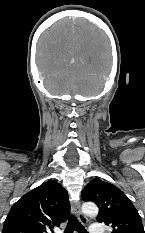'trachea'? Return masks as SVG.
Here are the masks:
<instances>
[{"label": "trachea", "mask_w": 145, "mask_h": 233, "mask_svg": "<svg viewBox=\"0 0 145 233\" xmlns=\"http://www.w3.org/2000/svg\"><path fill=\"white\" fill-rule=\"evenodd\" d=\"M77 231L78 233H87L84 226L75 218L73 215L69 216L67 227L64 230V233H73Z\"/></svg>", "instance_id": "obj_1"}]
</instances>
